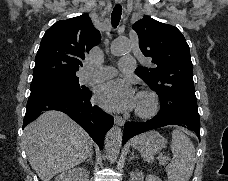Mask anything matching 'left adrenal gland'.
I'll return each instance as SVG.
<instances>
[{"label":"left adrenal gland","mask_w":228,"mask_h":181,"mask_svg":"<svg viewBox=\"0 0 228 181\" xmlns=\"http://www.w3.org/2000/svg\"><path fill=\"white\" fill-rule=\"evenodd\" d=\"M132 159H137V157H134V153H132L131 157H129L128 161H132Z\"/></svg>","instance_id":"a2214340"}]
</instances>
